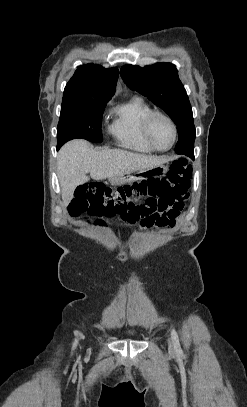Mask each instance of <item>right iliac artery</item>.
<instances>
[{
    "instance_id": "1",
    "label": "right iliac artery",
    "mask_w": 247,
    "mask_h": 407,
    "mask_svg": "<svg viewBox=\"0 0 247 407\" xmlns=\"http://www.w3.org/2000/svg\"><path fill=\"white\" fill-rule=\"evenodd\" d=\"M77 340H75V342H74V344H73V349L76 347V345H77Z\"/></svg>"
}]
</instances>
